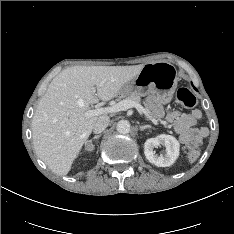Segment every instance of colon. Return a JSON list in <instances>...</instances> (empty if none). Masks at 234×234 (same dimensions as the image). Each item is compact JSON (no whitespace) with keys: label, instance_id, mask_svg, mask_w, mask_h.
Segmentation results:
<instances>
[{"label":"colon","instance_id":"1","mask_svg":"<svg viewBox=\"0 0 234 234\" xmlns=\"http://www.w3.org/2000/svg\"><path fill=\"white\" fill-rule=\"evenodd\" d=\"M176 101L179 105L185 108H192L196 104V97L187 88L182 87L176 93ZM200 156V149L192 146L189 149L188 157L190 160H196Z\"/></svg>","mask_w":234,"mask_h":234}]
</instances>
